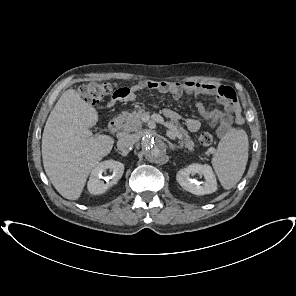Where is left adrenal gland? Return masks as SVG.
Listing matches in <instances>:
<instances>
[{
    "label": "left adrenal gland",
    "mask_w": 296,
    "mask_h": 296,
    "mask_svg": "<svg viewBox=\"0 0 296 296\" xmlns=\"http://www.w3.org/2000/svg\"><path fill=\"white\" fill-rule=\"evenodd\" d=\"M169 148H170L172 151H174V150H176V149H182L183 147H182V146H177V145H175V144L169 142Z\"/></svg>",
    "instance_id": "a2214340"
}]
</instances>
